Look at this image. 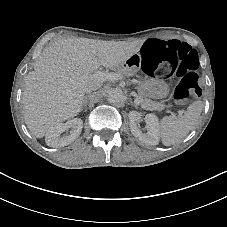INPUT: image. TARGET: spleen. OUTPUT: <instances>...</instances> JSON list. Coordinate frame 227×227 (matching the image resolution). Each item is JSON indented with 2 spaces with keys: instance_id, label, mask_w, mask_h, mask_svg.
<instances>
[{
  "instance_id": "spleen-1",
  "label": "spleen",
  "mask_w": 227,
  "mask_h": 227,
  "mask_svg": "<svg viewBox=\"0 0 227 227\" xmlns=\"http://www.w3.org/2000/svg\"><path fill=\"white\" fill-rule=\"evenodd\" d=\"M202 112L201 102H194L181 116H165L160 121L159 137L165 146L180 143L194 128Z\"/></svg>"
}]
</instances>
